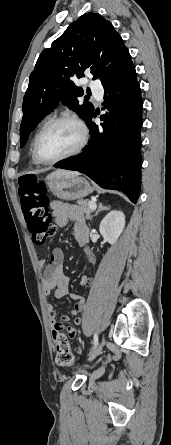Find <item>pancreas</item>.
I'll use <instances>...</instances> for the list:
<instances>
[{
	"instance_id": "obj_1",
	"label": "pancreas",
	"mask_w": 171,
	"mask_h": 445,
	"mask_svg": "<svg viewBox=\"0 0 171 445\" xmlns=\"http://www.w3.org/2000/svg\"><path fill=\"white\" fill-rule=\"evenodd\" d=\"M92 210L89 208L87 200H78L77 205H72L68 210V216L72 220L82 218L86 215V219L90 218Z\"/></svg>"
}]
</instances>
